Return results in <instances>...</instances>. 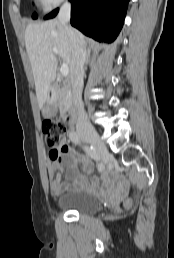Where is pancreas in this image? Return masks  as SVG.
<instances>
[{
  "instance_id": "obj_1",
  "label": "pancreas",
  "mask_w": 174,
  "mask_h": 258,
  "mask_svg": "<svg viewBox=\"0 0 174 258\" xmlns=\"http://www.w3.org/2000/svg\"><path fill=\"white\" fill-rule=\"evenodd\" d=\"M60 102H61V105H66L68 100H67V95H66V92L63 91L60 95Z\"/></svg>"
}]
</instances>
